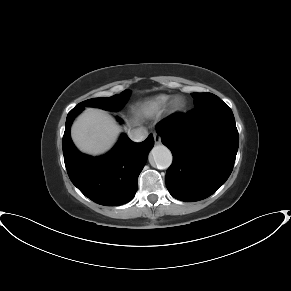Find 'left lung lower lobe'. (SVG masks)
I'll return each instance as SVG.
<instances>
[{
	"instance_id": "0a47b994",
	"label": "left lung lower lobe",
	"mask_w": 291,
	"mask_h": 291,
	"mask_svg": "<svg viewBox=\"0 0 291 291\" xmlns=\"http://www.w3.org/2000/svg\"><path fill=\"white\" fill-rule=\"evenodd\" d=\"M156 132L173 154L166 186L174 198L205 199L228 179L239 135L232 110L221 99L168 116L156 125Z\"/></svg>"
}]
</instances>
